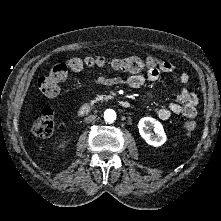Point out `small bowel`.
<instances>
[{"label":"small bowel","instance_id":"1","mask_svg":"<svg viewBox=\"0 0 221 221\" xmlns=\"http://www.w3.org/2000/svg\"><path fill=\"white\" fill-rule=\"evenodd\" d=\"M176 71L177 67L173 63L162 61L159 68L149 69L144 74L132 73L126 77L98 76L93 79V82L105 86L125 85L131 88H138L146 82L158 80L161 73H173ZM178 81L183 85L177 95L178 102L169 103L158 109L157 116L161 120H167L172 116H183L186 118H195L197 116L198 97L186 86L189 82L188 74L180 73Z\"/></svg>","mask_w":221,"mask_h":221}]
</instances>
